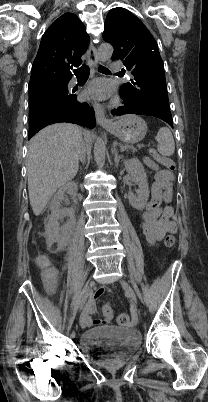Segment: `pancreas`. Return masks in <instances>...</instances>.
I'll return each mask as SVG.
<instances>
[{"mask_svg": "<svg viewBox=\"0 0 208 402\" xmlns=\"http://www.w3.org/2000/svg\"><path fill=\"white\" fill-rule=\"evenodd\" d=\"M125 148H128V150H133V152H136V148H133V146H125Z\"/></svg>", "mask_w": 208, "mask_h": 402, "instance_id": "1", "label": "pancreas"}]
</instances>
